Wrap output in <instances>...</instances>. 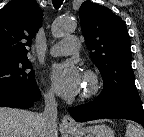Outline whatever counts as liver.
Listing matches in <instances>:
<instances>
[{
  "label": "liver",
  "mask_w": 144,
  "mask_h": 137,
  "mask_svg": "<svg viewBox=\"0 0 144 137\" xmlns=\"http://www.w3.org/2000/svg\"><path fill=\"white\" fill-rule=\"evenodd\" d=\"M57 136L56 128L54 137ZM0 137H41V114L16 108H0Z\"/></svg>",
  "instance_id": "6515ba94"
}]
</instances>
